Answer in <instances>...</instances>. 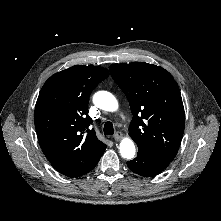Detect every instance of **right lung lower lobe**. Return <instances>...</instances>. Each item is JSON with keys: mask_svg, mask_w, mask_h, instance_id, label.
Masks as SVG:
<instances>
[{"mask_svg": "<svg viewBox=\"0 0 221 221\" xmlns=\"http://www.w3.org/2000/svg\"><path fill=\"white\" fill-rule=\"evenodd\" d=\"M99 161V160H98ZM98 161L93 165V167L89 170V171H91L95 166H96V164L98 163Z\"/></svg>", "mask_w": 221, "mask_h": 221, "instance_id": "obj_1", "label": "right lung lower lobe"}]
</instances>
